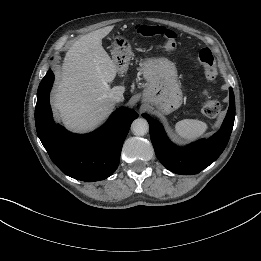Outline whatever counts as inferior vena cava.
<instances>
[{"label":"inferior vena cava","instance_id":"602c4592","mask_svg":"<svg viewBox=\"0 0 261 261\" xmlns=\"http://www.w3.org/2000/svg\"><path fill=\"white\" fill-rule=\"evenodd\" d=\"M109 98L113 101V102H122L124 100V97L122 94L119 93H110L109 94Z\"/></svg>","mask_w":261,"mask_h":261}]
</instances>
